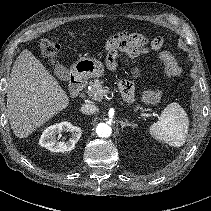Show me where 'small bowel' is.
Wrapping results in <instances>:
<instances>
[{
    "mask_svg": "<svg viewBox=\"0 0 211 211\" xmlns=\"http://www.w3.org/2000/svg\"><path fill=\"white\" fill-rule=\"evenodd\" d=\"M127 33L130 34L132 32H127ZM111 44H112V40L108 41V43L106 44V48L108 47V45H111ZM110 69L114 70L115 67L110 68ZM119 88L122 93V97L126 102L131 103L134 101V87L130 80L128 79L121 80L119 83Z\"/></svg>",
    "mask_w": 211,
    "mask_h": 211,
    "instance_id": "small-bowel-1",
    "label": "small bowel"
}]
</instances>
